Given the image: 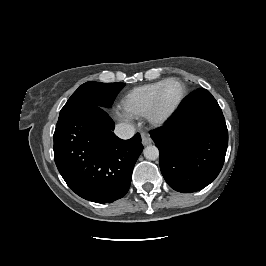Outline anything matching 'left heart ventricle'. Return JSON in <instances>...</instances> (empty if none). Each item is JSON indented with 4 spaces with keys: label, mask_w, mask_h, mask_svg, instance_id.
<instances>
[{
    "label": "left heart ventricle",
    "mask_w": 266,
    "mask_h": 266,
    "mask_svg": "<svg viewBox=\"0 0 266 266\" xmlns=\"http://www.w3.org/2000/svg\"><path fill=\"white\" fill-rule=\"evenodd\" d=\"M181 94V86L176 82L169 83L163 90L159 100V112L164 115L177 103Z\"/></svg>",
    "instance_id": "obj_1"
}]
</instances>
